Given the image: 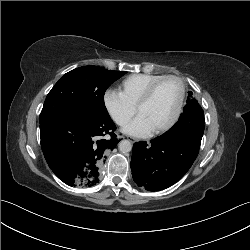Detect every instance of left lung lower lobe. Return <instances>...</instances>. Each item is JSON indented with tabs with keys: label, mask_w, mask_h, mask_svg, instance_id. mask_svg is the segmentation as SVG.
<instances>
[{
	"label": "left lung lower lobe",
	"mask_w": 250,
	"mask_h": 250,
	"mask_svg": "<svg viewBox=\"0 0 250 250\" xmlns=\"http://www.w3.org/2000/svg\"><path fill=\"white\" fill-rule=\"evenodd\" d=\"M204 123L201 106L188 103L169 131L150 143H135L131 158L134 182L148 191H159L180 180L199 153Z\"/></svg>",
	"instance_id": "1"
}]
</instances>
